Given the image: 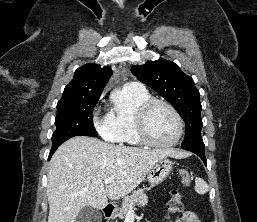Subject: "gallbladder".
I'll use <instances>...</instances> for the list:
<instances>
[{
    "label": "gallbladder",
    "instance_id": "gallbladder-1",
    "mask_svg": "<svg viewBox=\"0 0 257 222\" xmlns=\"http://www.w3.org/2000/svg\"><path fill=\"white\" fill-rule=\"evenodd\" d=\"M102 214L98 209L90 206L84 207L77 215L75 222H101Z\"/></svg>",
    "mask_w": 257,
    "mask_h": 222
}]
</instances>
